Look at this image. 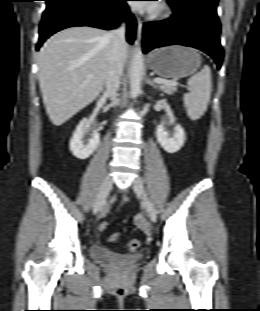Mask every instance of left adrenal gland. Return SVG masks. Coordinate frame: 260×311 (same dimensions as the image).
I'll use <instances>...</instances> for the list:
<instances>
[{"mask_svg":"<svg viewBox=\"0 0 260 311\" xmlns=\"http://www.w3.org/2000/svg\"><path fill=\"white\" fill-rule=\"evenodd\" d=\"M147 83L153 88H158V86L150 78L147 79Z\"/></svg>","mask_w":260,"mask_h":311,"instance_id":"1","label":"left adrenal gland"}]
</instances>
